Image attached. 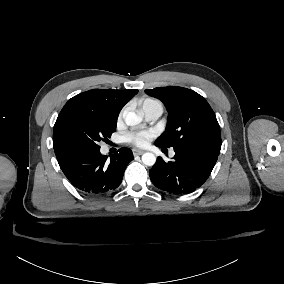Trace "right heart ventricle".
<instances>
[{"label":"right heart ventricle","instance_id":"1","mask_svg":"<svg viewBox=\"0 0 284 284\" xmlns=\"http://www.w3.org/2000/svg\"><path fill=\"white\" fill-rule=\"evenodd\" d=\"M150 100H155V99H147V100L144 102V104H145L146 102L150 101ZM144 104H143V105H144Z\"/></svg>","mask_w":284,"mask_h":284}]
</instances>
